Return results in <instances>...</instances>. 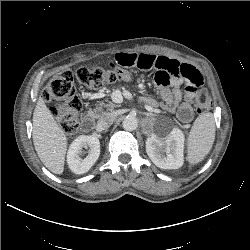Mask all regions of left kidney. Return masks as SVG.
Masks as SVG:
<instances>
[{
	"label": "left kidney",
	"mask_w": 250,
	"mask_h": 250,
	"mask_svg": "<svg viewBox=\"0 0 250 250\" xmlns=\"http://www.w3.org/2000/svg\"><path fill=\"white\" fill-rule=\"evenodd\" d=\"M185 137L179 128H173L164 137L147 138L146 152L152 162L161 169H178L184 162Z\"/></svg>",
	"instance_id": "obj_1"
}]
</instances>
